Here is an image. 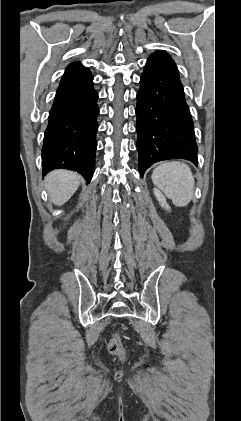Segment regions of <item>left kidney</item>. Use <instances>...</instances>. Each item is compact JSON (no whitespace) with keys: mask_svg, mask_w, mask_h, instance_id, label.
<instances>
[{"mask_svg":"<svg viewBox=\"0 0 241 421\" xmlns=\"http://www.w3.org/2000/svg\"><path fill=\"white\" fill-rule=\"evenodd\" d=\"M153 191H154V195L156 196V198H157V200L159 201V203L161 204V206H162L163 208H165L166 210H169V209H170V207H169V205L167 204V202H166V198H165V196L161 193V191H160V190H158L157 188H154V189H153Z\"/></svg>","mask_w":241,"mask_h":421,"instance_id":"5707ae66","label":"left kidney"}]
</instances>
